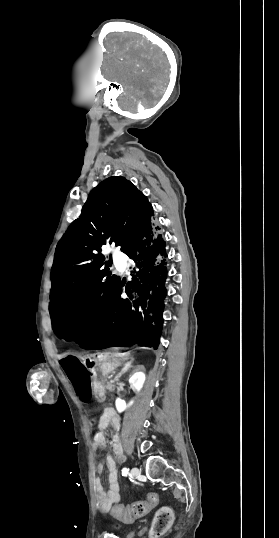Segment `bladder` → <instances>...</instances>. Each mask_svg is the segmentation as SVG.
Here are the masks:
<instances>
[{"mask_svg":"<svg viewBox=\"0 0 279 538\" xmlns=\"http://www.w3.org/2000/svg\"><path fill=\"white\" fill-rule=\"evenodd\" d=\"M124 538H133V534L131 532H125Z\"/></svg>","mask_w":279,"mask_h":538,"instance_id":"obj_1","label":"bladder"}]
</instances>
